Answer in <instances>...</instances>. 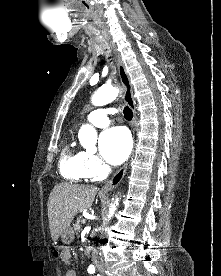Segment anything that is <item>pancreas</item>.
<instances>
[{"label": "pancreas", "mask_w": 221, "mask_h": 276, "mask_svg": "<svg viewBox=\"0 0 221 276\" xmlns=\"http://www.w3.org/2000/svg\"><path fill=\"white\" fill-rule=\"evenodd\" d=\"M80 222H82V217H81V216H79V217L77 218L76 223L74 224V229H75L76 231H80V228H81Z\"/></svg>", "instance_id": "1"}]
</instances>
